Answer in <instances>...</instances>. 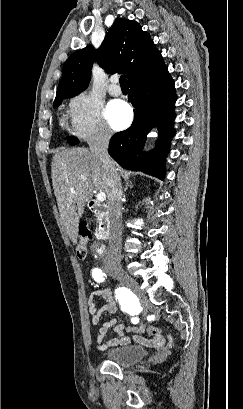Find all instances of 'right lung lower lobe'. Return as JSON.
Masks as SVG:
<instances>
[{"label":"right lung lower lobe","instance_id":"98d812e1","mask_svg":"<svg viewBox=\"0 0 243 409\" xmlns=\"http://www.w3.org/2000/svg\"><path fill=\"white\" fill-rule=\"evenodd\" d=\"M129 86L128 98L135 107L134 122L130 128L111 138L109 153L123 168L143 171L163 179L165 156L174 136V81L165 65L155 73L131 82ZM154 126L159 129L156 148L142 157L146 136Z\"/></svg>","mask_w":243,"mask_h":409}]
</instances>
